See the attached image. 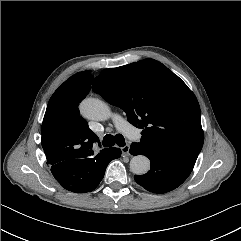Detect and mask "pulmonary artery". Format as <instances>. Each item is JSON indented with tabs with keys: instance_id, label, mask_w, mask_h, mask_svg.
<instances>
[{
	"instance_id": "pulmonary-artery-1",
	"label": "pulmonary artery",
	"mask_w": 241,
	"mask_h": 241,
	"mask_svg": "<svg viewBox=\"0 0 241 241\" xmlns=\"http://www.w3.org/2000/svg\"><path fill=\"white\" fill-rule=\"evenodd\" d=\"M116 127L130 139L138 138L137 130L122 117L116 118Z\"/></svg>"
}]
</instances>
